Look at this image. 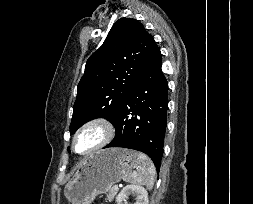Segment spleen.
Wrapping results in <instances>:
<instances>
[{"label":"spleen","instance_id":"1","mask_svg":"<svg viewBox=\"0 0 253 204\" xmlns=\"http://www.w3.org/2000/svg\"><path fill=\"white\" fill-rule=\"evenodd\" d=\"M156 169L153 162L143 153H138V167L124 175L123 180L128 183L145 185L152 189L155 180Z\"/></svg>","mask_w":253,"mask_h":204}]
</instances>
